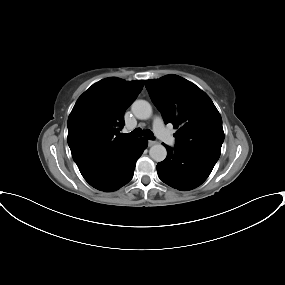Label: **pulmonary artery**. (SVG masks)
<instances>
[{
	"label": "pulmonary artery",
	"instance_id": "pulmonary-artery-1",
	"mask_svg": "<svg viewBox=\"0 0 285 285\" xmlns=\"http://www.w3.org/2000/svg\"><path fill=\"white\" fill-rule=\"evenodd\" d=\"M154 131L156 135L165 142L168 146H174L176 144L175 138L171 135V133L166 129L162 119L160 117H156L154 119Z\"/></svg>",
	"mask_w": 285,
	"mask_h": 285
}]
</instances>
